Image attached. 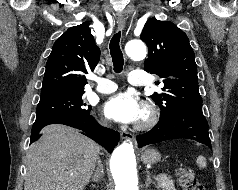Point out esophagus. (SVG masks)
<instances>
[{"label": "esophagus", "instance_id": "1", "mask_svg": "<svg viewBox=\"0 0 238 190\" xmlns=\"http://www.w3.org/2000/svg\"><path fill=\"white\" fill-rule=\"evenodd\" d=\"M125 27V20L123 18H119L117 20V28L118 30H122ZM120 137L122 140L132 142L134 140V136L128 132H121Z\"/></svg>", "mask_w": 238, "mask_h": 190}]
</instances>
